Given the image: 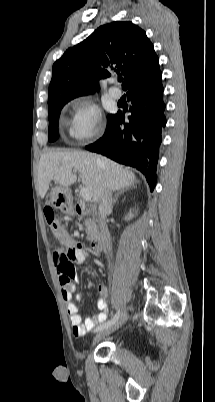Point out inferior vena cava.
Instances as JSON below:
<instances>
[{"mask_svg": "<svg viewBox=\"0 0 215 402\" xmlns=\"http://www.w3.org/2000/svg\"><path fill=\"white\" fill-rule=\"evenodd\" d=\"M112 203V193L108 188H105L99 201V224L102 237L109 252L111 250V243L108 228L106 225V216L112 211Z\"/></svg>", "mask_w": 215, "mask_h": 402, "instance_id": "602c4592", "label": "inferior vena cava"}]
</instances>
